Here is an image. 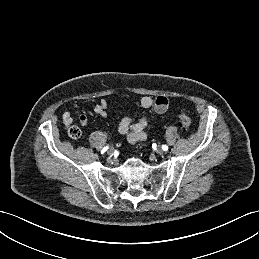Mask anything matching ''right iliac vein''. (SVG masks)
Here are the masks:
<instances>
[{"label": "right iliac vein", "instance_id": "1", "mask_svg": "<svg viewBox=\"0 0 259 259\" xmlns=\"http://www.w3.org/2000/svg\"><path fill=\"white\" fill-rule=\"evenodd\" d=\"M113 153H114V149L112 147H109L108 150H107V154L113 155Z\"/></svg>", "mask_w": 259, "mask_h": 259}]
</instances>
